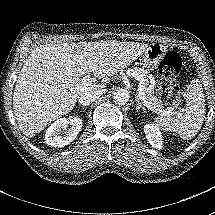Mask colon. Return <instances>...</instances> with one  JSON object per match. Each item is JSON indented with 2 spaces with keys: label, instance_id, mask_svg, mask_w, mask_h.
Wrapping results in <instances>:
<instances>
[{
  "label": "colon",
  "instance_id": "obj_1",
  "mask_svg": "<svg viewBox=\"0 0 215 215\" xmlns=\"http://www.w3.org/2000/svg\"><path fill=\"white\" fill-rule=\"evenodd\" d=\"M182 68L180 54L170 51L159 64L161 79L158 82L159 98L167 106L175 108L182 103V96L177 88L176 78Z\"/></svg>",
  "mask_w": 215,
  "mask_h": 215
}]
</instances>
